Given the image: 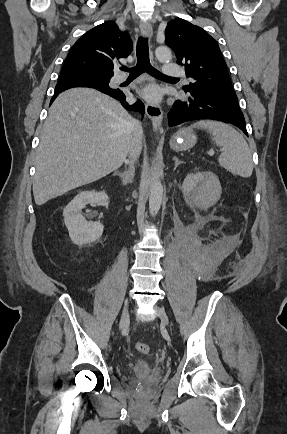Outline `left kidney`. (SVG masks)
Instances as JSON below:
<instances>
[{
  "label": "left kidney",
  "mask_w": 287,
  "mask_h": 434,
  "mask_svg": "<svg viewBox=\"0 0 287 434\" xmlns=\"http://www.w3.org/2000/svg\"><path fill=\"white\" fill-rule=\"evenodd\" d=\"M182 191L190 203L209 207L219 200L222 188L218 177L210 171H205L188 174L183 182Z\"/></svg>",
  "instance_id": "obj_1"
}]
</instances>
